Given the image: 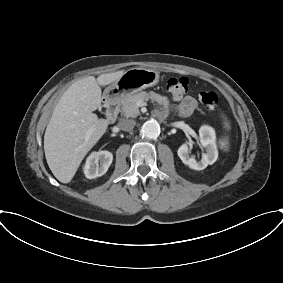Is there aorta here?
I'll use <instances>...</instances> for the list:
<instances>
[{
  "label": "aorta",
  "mask_w": 283,
  "mask_h": 283,
  "mask_svg": "<svg viewBox=\"0 0 283 283\" xmlns=\"http://www.w3.org/2000/svg\"><path fill=\"white\" fill-rule=\"evenodd\" d=\"M141 133L148 139H156L160 134V126L154 120L147 121L143 124Z\"/></svg>",
  "instance_id": "762f6f07"
}]
</instances>
